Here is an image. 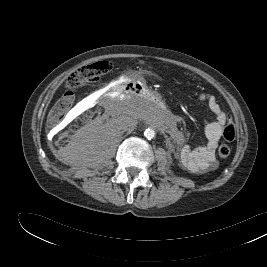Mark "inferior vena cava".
I'll return each instance as SVG.
<instances>
[{
  "label": "inferior vena cava",
  "mask_w": 267,
  "mask_h": 267,
  "mask_svg": "<svg viewBox=\"0 0 267 267\" xmlns=\"http://www.w3.org/2000/svg\"><path fill=\"white\" fill-rule=\"evenodd\" d=\"M136 120L129 116L121 115L116 119L117 129L123 132H132L136 128Z\"/></svg>",
  "instance_id": "obj_1"
}]
</instances>
